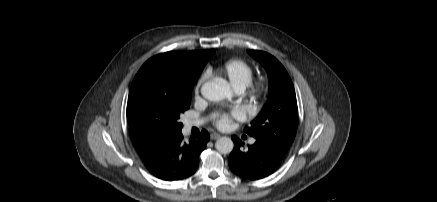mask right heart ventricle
Returning a JSON list of instances; mask_svg holds the SVG:
<instances>
[{
    "label": "right heart ventricle",
    "mask_w": 437,
    "mask_h": 202,
    "mask_svg": "<svg viewBox=\"0 0 437 202\" xmlns=\"http://www.w3.org/2000/svg\"><path fill=\"white\" fill-rule=\"evenodd\" d=\"M217 71L228 78L236 90H244L253 79V69L244 60L234 58L224 62Z\"/></svg>",
    "instance_id": "e07e8e85"
}]
</instances>
